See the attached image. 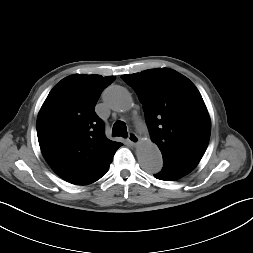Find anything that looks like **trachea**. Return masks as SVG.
<instances>
[{
    "label": "trachea",
    "mask_w": 253,
    "mask_h": 253,
    "mask_svg": "<svg viewBox=\"0 0 253 253\" xmlns=\"http://www.w3.org/2000/svg\"><path fill=\"white\" fill-rule=\"evenodd\" d=\"M113 136H121L127 137V127L123 121H116L113 129H112Z\"/></svg>",
    "instance_id": "trachea-1"
}]
</instances>
